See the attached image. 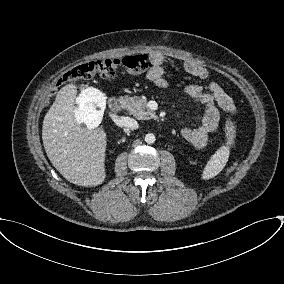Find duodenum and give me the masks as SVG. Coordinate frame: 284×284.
<instances>
[{
	"label": "duodenum",
	"instance_id": "obj_1",
	"mask_svg": "<svg viewBox=\"0 0 284 284\" xmlns=\"http://www.w3.org/2000/svg\"><path fill=\"white\" fill-rule=\"evenodd\" d=\"M109 108L113 112H119L122 109V102L119 98L113 97L109 100Z\"/></svg>",
	"mask_w": 284,
	"mask_h": 284
}]
</instances>
